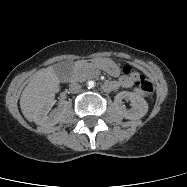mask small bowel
<instances>
[{
    "label": "small bowel",
    "instance_id": "1",
    "mask_svg": "<svg viewBox=\"0 0 187 187\" xmlns=\"http://www.w3.org/2000/svg\"><path fill=\"white\" fill-rule=\"evenodd\" d=\"M107 83H108V87L105 88V90L108 91L115 90L117 88L127 89L133 86V79L128 76H124L120 78L118 81H109Z\"/></svg>",
    "mask_w": 187,
    "mask_h": 187
}]
</instances>
